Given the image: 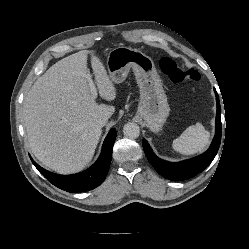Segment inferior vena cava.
Masks as SVG:
<instances>
[{
	"label": "inferior vena cava",
	"instance_id": "inferior-vena-cava-1",
	"mask_svg": "<svg viewBox=\"0 0 249 249\" xmlns=\"http://www.w3.org/2000/svg\"><path fill=\"white\" fill-rule=\"evenodd\" d=\"M107 121H108V117L102 116L99 119H97V124L102 127L107 123Z\"/></svg>",
	"mask_w": 249,
	"mask_h": 249
}]
</instances>
